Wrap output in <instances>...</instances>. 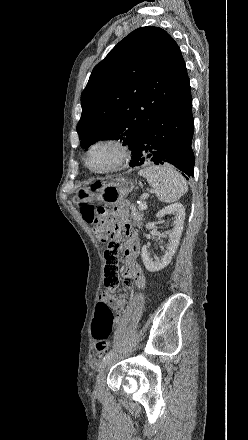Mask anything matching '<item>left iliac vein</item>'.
<instances>
[{
    "mask_svg": "<svg viewBox=\"0 0 248 440\" xmlns=\"http://www.w3.org/2000/svg\"><path fill=\"white\" fill-rule=\"evenodd\" d=\"M106 372H107V367L106 364L103 365L97 375L96 378V383H95V393L97 395L102 394L103 390H104V382H105V376H106Z\"/></svg>",
    "mask_w": 248,
    "mask_h": 440,
    "instance_id": "obj_1",
    "label": "left iliac vein"
}]
</instances>
